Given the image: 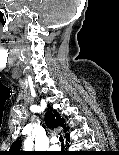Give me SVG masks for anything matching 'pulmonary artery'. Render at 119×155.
Instances as JSON below:
<instances>
[{
  "label": "pulmonary artery",
  "mask_w": 119,
  "mask_h": 155,
  "mask_svg": "<svg viewBox=\"0 0 119 155\" xmlns=\"http://www.w3.org/2000/svg\"><path fill=\"white\" fill-rule=\"evenodd\" d=\"M53 149H57V147H53Z\"/></svg>",
  "instance_id": "e3ab8cb5"
}]
</instances>
